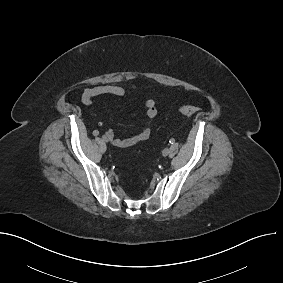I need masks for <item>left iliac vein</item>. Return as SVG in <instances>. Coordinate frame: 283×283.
I'll return each mask as SVG.
<instances>
[{
	"label": "left iliac vein",
	"instance_id": "obj_1",
	"mask_svg": "<svg viewBox=\"0 0 283 283\" xmlns=\"http://www.w3.org/2000/svg\"><path fill=\"white\" fill-rule=\"evenodd\" d=\"M169 154V149L168 148H165L163 151H162V155L165 157Z\"/></svg>",
	"mask_w": 283,
	"mask_h": 283
}]
</instances>
